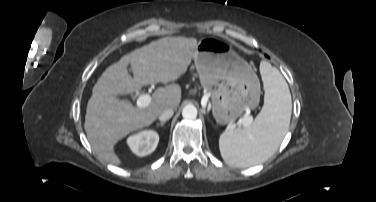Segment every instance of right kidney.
<instances>
[{"instance_id":"ca27d5eb","label":"right kidney","mask_w":376,"mask_h":202,"mask_svg":"<svg viewBox=\"0 0 376 202\" xmlns=\"http://www.w3.org/2000/svg\"><path fill=\"white\" fill-rule=\"evenodd\" d=\"M127 142L133 153L146 156L156 149L159 135L154 130H143L130 136Z\"/></svg>"}]
</instances>
